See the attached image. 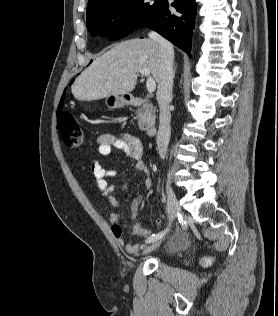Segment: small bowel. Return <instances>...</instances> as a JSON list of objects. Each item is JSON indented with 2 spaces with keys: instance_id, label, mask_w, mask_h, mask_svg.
<instances>
[{
  "instance_id": "c3829d8e",
  "label": "small bowel",
  "mask_w": 278,
  "mask_h": 316,
  "mask_svg": "<svg viewBox=\"0 0 278 316\" xmlns=\"http://www.w3.org/2000/svg\"><path fill=\"white\" fill-rule=\"evenodd\" d=\"M98 153L102 156H108L112 151L119 150L127 158L135 161V169L144 174L143 183L147 189L151 188L152 180L150 171L147 165L142 160L143 146L139 138L132 135L115 136L113 134L105 133L98 137ZM91 170L96 179V183L102 195L107 199L108 203L114 207H119V202L114 195L115 185L110 183V179L116 176L115 170L109 166H103L97 160L91 162ZM139 202L134 200L131 204L132 218L135 219L138 213ZM123 216L118 212H112L109 215V222L111 224V232L116 242L125 248L128 253H136L139 249L137 244H129L125 242L123 230L119 222ZM159 221L156 220L155 223ZM133 231L136 235L141 237H148L152 231L149 228L143 227L139 222L135 221Z\"/></svg>"
}]
</instances>
